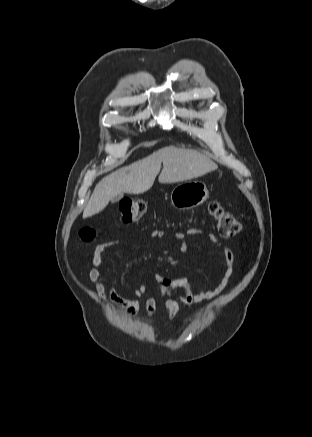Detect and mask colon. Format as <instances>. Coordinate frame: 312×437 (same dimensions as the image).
I'll list each match as a JSON object with an SVG mask.
<instances>
[{"mask_svg":"<svg viewBox=\"0 0 312 437\" xmlns=\"http://www.w3.org/2000/svg\"><path fill=\"white\" fill-rule=\"evenodd\" d=\"M146 209L147 205L143 199L125 197L119 203L120 219L124 223L135 222L145 214ZM208 211L215 219L221 236L231 238L242 231V224L217 202L210 203ZM95 234L93 228H83L79 232V237L83 241H90L95 237Z\"/></svg>","mask_w":312,"mask_h":437,"instance_id":"5ec220e1","label":"colon"}]
</instances>
